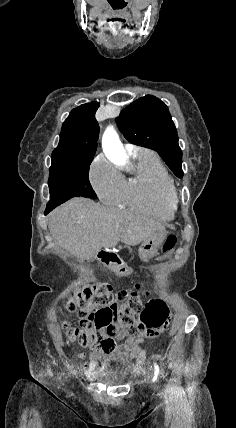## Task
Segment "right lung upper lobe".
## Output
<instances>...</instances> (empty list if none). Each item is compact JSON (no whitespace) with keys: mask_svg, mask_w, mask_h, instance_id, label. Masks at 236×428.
<instances>
[{"mask_svg":"<svg viewBox=\"0 0 236 428\" xmlns=\"http://www.w3.org/2000/svg\"><path fill=\"white\" fill-rule=\"evenodd\" d=\"M98 107V102H92L71 111L63 123L52 161L93 160L99 136V125L95 119Z\"/></svg>","mask_w":236,"mask_h":428,"instance_id":"1","label":"right lung upper lobe"}]
</instances>
